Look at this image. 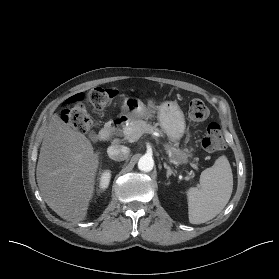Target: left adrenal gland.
Here are the masks:
<instances>
[{"instance_id":"left-adrenal-gland-1","label":"left adrenal gland","mask_w":279,"mask_h":279,"mask_svg":"<svg viewBox=\"0 0 279 279\" xmlns=\"http://www.w3.org/2000/svg\"><path fill=\"white\" fill-rule=\"evenodd\" d=\"M164 168L167 169V178H169V176H171L172 174L175 175V173L173 172V170H172L169 166H167L166 163H164Z\"/></svg>"}]
</instances>
